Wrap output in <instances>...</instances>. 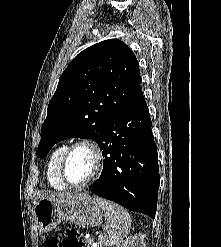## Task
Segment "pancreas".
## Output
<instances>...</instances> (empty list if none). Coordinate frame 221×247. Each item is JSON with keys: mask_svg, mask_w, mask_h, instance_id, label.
<instances>
[{"mask_svg": "<svg viewBox=\"0 0 221 247\" xmlns=\"http://www.w3.org/2000/svg\"><path fill=\"white\" fill-rule=\"evenodd\" d=\"M86 243H87V247H94V242L92 239H87Z\"/></svg>", "mask_w": 221, "mask_h": 247, "instance_id": "pancreas-1", "label": "pancreas"}]
</instances>
